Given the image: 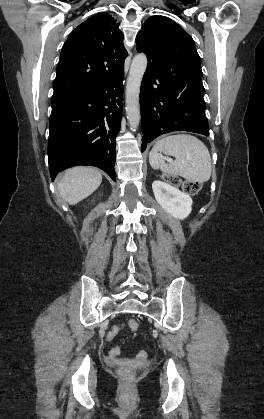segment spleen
Segmentation results:
<instances>
[{
  "mask_svg": "<svg viewBox=\"0 0 264 419\" xmlns=\"http://www.w3.org/2000/svg\"><path fill=\"white\" fill-rule=\"evenodd\" d=\"M161 153L174 156V162L166 163ZM153 169L179 175L189 182L203 183L211 177V158L205 144L195 136L177 134L157 141L149 153Z\"/></svg>",
  "mask_w": 264,
  "mask_h": 419,
  "instance_id": "3e777b00",
  "label": "spleen"
}]
</instances>
